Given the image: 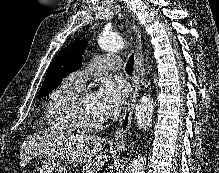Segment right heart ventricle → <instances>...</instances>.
<instances>
[{"instance_id":"1","label":"right heart ventricle","mask_w":219,"mask_h":173,"mask_svg":"<svg viewBox=\"0 0 219 173\" xmlns=\"http://www.w3.org/2000/svg\"><path fill=\"white\" fill-rule=\"evenodd\" d=\"M81 89L68 79H65L50 94L44 110L45 126L48 130L58 134H74L81 130L69 118L68 103Z\"/></svg>"}]
</instances>
